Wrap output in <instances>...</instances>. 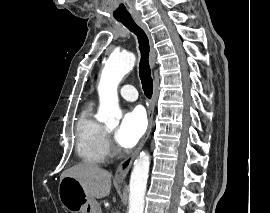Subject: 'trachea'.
I'll use <instances>...</instances> for the list:
<instances>
[{"mask_svg":"<svg viewBox=\"0 0 270 213\" xmlns=\"http://www.w3.org/2000/svg\"><path fill=\"white\" fill-rule=\"evenodd\" d=\"M119 21L137 36L139 42V50L141 53V59L139 63V76L145 96L150 99L153 93V80L149 66L150 46L148 37L143 29H141L132 18L122 19Z\"/></svg>","mask_w":270,"mask_h":213,"instance_id":"obj_1","label":"trachea"}]
</instances>
